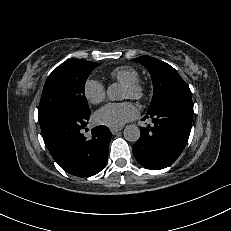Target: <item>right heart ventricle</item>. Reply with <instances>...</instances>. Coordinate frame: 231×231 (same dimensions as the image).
<instances>
[{"mask_svg":"<svg viewBox=\"0 0 231 231\" xmlns=\"http://www.w3.org/2000/svg\"><path fill=\"white\" fill-rule=\"evenodd\" d=\"M110 77L123 84H128L139 80L138 72L130 66H120L115 68L110 73Z\"/></svg>","mask_w":231,"mask_h":231,"instance_id":"right-heart-ventricle-1","label":"right heart ventricle"}]
</instances>
